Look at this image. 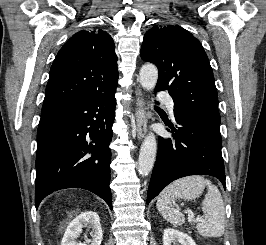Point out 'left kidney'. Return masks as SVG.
Returning <instances> with one entry per match:
<instances>
[{
	"label": "left kidney",
	"instance_id": "1",
	"mask_svg": "<svg viewBox=\"0 0 266 245\" xmlns=\"http://www.w3.org/2000/svg\"><path fill=\"white\" fill-rule=\"evenodd\" d=\"M196 245L193 239L181 231H176V229H165L163 233V245Z\"/></svg>",
	"mask_w": 266,
	"mask_h": 245
}]
</instances>
